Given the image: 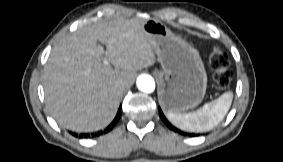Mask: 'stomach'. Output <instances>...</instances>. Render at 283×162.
Instances as JSON below:
<instances>
[{"mask_svg":"<svg viewBox=\"0 0 283 162\" xmlns=\"http://www.w3.org/2000/svg\"><path fill=\"white\" fill-rule=\"evenodd\" d=\"M141 27L162 66V71L156 72L162 107L166 111H183L197 106L207 85L197 50L156 19H143Z\"/></svg>","mask_w":283,"mask_h":162,"instance_id":"1","label":"stomach"}]
</instances>
